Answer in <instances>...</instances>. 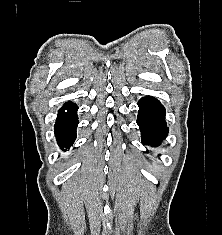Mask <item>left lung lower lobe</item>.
I'll return each mask as SVG.
<instances>
[{"label": "left lung lower lobe", "instance_id": "0a47b994", "mask_svg": "<svg viewBox=\"0 0 222 235\" xmlns=\"http://www.w3.org/2000/svg\"><path fill=\"white\" fill-rule=\"evenodd\" d=\"M138 106L137 124L141 131L142 143L158 146L168 134L165 108L153 97L140 99Z\"/></svg>", "mask_w": 222, "mask_h": 235}]
</instances>
